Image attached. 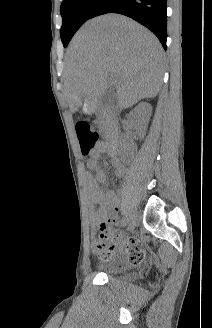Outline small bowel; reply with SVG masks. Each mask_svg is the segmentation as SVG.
Returning <instances> with one entry per match:
<instances>
[{
  "label": "small bowel",
  "instance_id": "c3829d8e",
  "mask_svg": "<svg viewBox=\"0 0 212 328\" xmlns=\"http://www.w3.org/2000/svg\"><path fill=\"white\" fill-rule=\"evenodd\" d=\"M105 149L104 142L98 143L92 158L88 161V167L95 171V176L88 174L86 177L88 199L92 204L98 205L97 210L92 214V222L95 226H101L105 222H116L121 202L118 192L106 188V173L104 168L98 164V157L105 152ZM112 165L117 177L121 178L125 175L126 168L119 160L114 159ZM142 252L140 241L130 238L118 242L113 254L117 257H127L130 261L135 262L137 256Z\"/></svg>",
  "mask_w": 212,
  "mask_h": 328
}]
</instances>
